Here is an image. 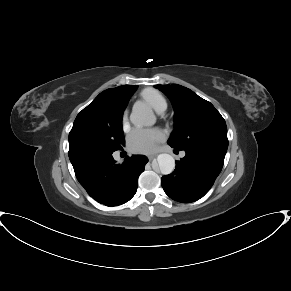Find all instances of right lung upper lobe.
I'll use <instances>...</instances> for the list:
<instances>
[{"mask_svg": "<svg viewBox=\"0 0 291 291\" xmlns=\"http://www.w3.org/2000/svg\"><path fill=\"white\" fill-rule=\"evenodd\" d=\"M136 88H137L136 85H124L116 88H110L100 93L95 99H99L101 97L108 96L111 94H118L127 97L129 95H132Z\"/></svg>", "mask_w": 291, "mask_h": 291, "instance_id": "1", "label": "right lung upper lobe"}]
</instances>
